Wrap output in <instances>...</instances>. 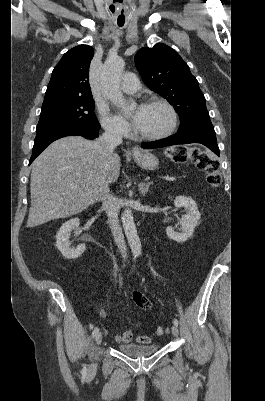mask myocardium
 <instances>
[{"instance_id": "obj_1", "label": "myocardium", "mask_w": 265, "mask_h": 401, "mask_svg": "<svg viewBox=\"0 0 265 401\" xmlns=\"http://www.w3.org/2000/svg\"><path fill=\"white\" fill-rule=\"evenodd\" d=\"M147 105H160L165 108L169 113V121L167 125L159 132L150 135H139L138 138L142 140H157L171 133L175 129L177 124V112L175 108L169 102L160 98L149 99L145 103V106Z\"/></svg>"}]
</instances>
